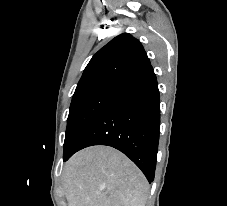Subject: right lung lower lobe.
<instances>
[{"instance_id":"right-lung-lower-lobe-1","label":"right lung lower lobe","mask_w":227,"mask_h":206,"mask_svg":"<svg viewBox=\"0 0 227 206\" xmlns=\"http://www.w3.org/2000/svg\"><path fill=\"white\" fill-rule=\"evenodd\" d=\"M160 127V98L154 71L135 78L82 134L63 158L92 145L114 147L129 157L149 182L154 179Z\"/></svg>"}]
</instances>
